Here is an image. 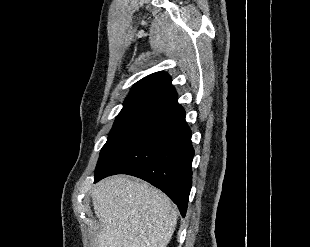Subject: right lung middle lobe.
I'll use <instances>...</instances> for the list:
<instances>
[{
    "mask_svg": "<svg viewBox=\"0 0 310 247\" xmlns=\"http://www.w3.org/2000/svg\"><path fill=\"white\" fill-rule=\"evenodd\" d=\"M157 114L156 111L147 108L121 110L100 152L96 170L106 164L145 123Z\"/></svg>",
    "mask_w": 310,
    "mask_h": 247,
    "instance_id": "obj_1",
    "label": "right lung middle lobe"
}]
</instances>
